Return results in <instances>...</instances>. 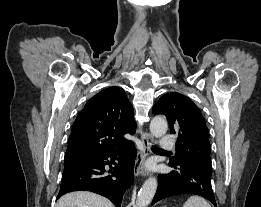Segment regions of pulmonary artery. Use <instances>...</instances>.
<instances>
[{"instance_id":"1","label":"pulmonary artery","mask_w":261,"mask_h":207,"mask_svg":"<svg viewBox=\"0 0 261 207\" xmlns=\"http://www.w3.org/2000/svg\"><path fill=\"white\" fill-rule=\"evenodd\" d=\"M160 148L167 151L174 148V142L171 136L165 135L160 139Z\"/></svg>"}]
</instances>
